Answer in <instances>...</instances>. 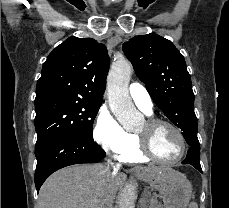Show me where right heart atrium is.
Wrapping results in <instances>:
<instances>
[{
  "label": "right heart atrium",
  "mask_w": 229,
  "mask_h": 208,
  "mask_svg": "<svg viewBox=\"0 0 229 208\" xmlns=\"http://www.w3.org/2000/svg\"><path fill=\"white\" fill-rule=\"evenodd\" d=\"M95 142L104 150L122 155L134 149L135 141L105 106L98 110L92 128Z\"/></svg>",
  "instance_id": "1"
}]
</instances>
